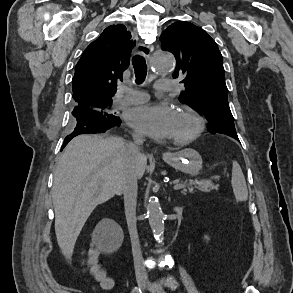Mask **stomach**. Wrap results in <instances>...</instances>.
<instances>
[{
  "label": "stomach",
  "mask_w": 293,
  "mask_h": 293,
  "mask_svg": "<svg viewBox=\"0 0 293 293\" xmlns=\"http://www.w3.org/2000/svg\"><path fill=\"white\" fill-rule=\"evenodd\" d=\"M164 160L171 167L190 176L198 175L203 164L200 154L192 148L170 153Z\"/></svg>",
  "instance_id": "obj_1"
}]
</instances>
